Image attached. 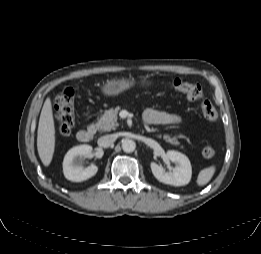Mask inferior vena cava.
Listing matches in <instances>:
<instances>
[{
	"label": "inferior vena cava",
	"mask_w": 261,
	"mask_h": 254,
	"mask_svg": "<svg viewBox=\"0 0 261 254\" xmlns=\"http://www.w3.org/2000/svg\"><path fill=\"white\" fill-rule=\"evenodd\" d=\"M116 140V136L114 134L105 135L98 139V145L103 148H107L111 146Z\"/></svg>",
	"instance_id": "602c4592"
}]
</instances>
